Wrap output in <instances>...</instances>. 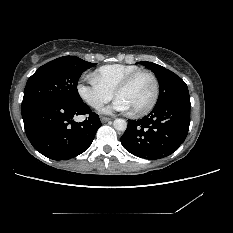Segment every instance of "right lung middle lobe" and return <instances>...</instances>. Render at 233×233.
<instances>
[{"instance_id": "obj_1", "label": "right lung middle lobe", "mask_w": 233, "mask_h": 233, "mask_svg": "<svg viewBox=\"0 0 233 233\" xmlns=\"http://www.w3.org/2000/svg\"><path fill=\"white\" fill-rule=\"evenodd\" d=\"M94 65L75 56H63L46 63L28 79L22 107L49 99L68 104L81 103L78 80L85 70Z\"/></svg>"}]
</instances>
